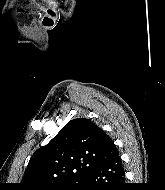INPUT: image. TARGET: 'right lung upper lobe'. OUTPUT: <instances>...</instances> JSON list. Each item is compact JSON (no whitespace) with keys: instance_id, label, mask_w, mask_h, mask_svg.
Listing matches in <instances>:
<instances>
[{"instance_id":"right-lung-upper-lobe-1","label":"right lung upper lobe","mask_w":165,"mask_h":190,"mask_svg":"<svg viewBox=\"0 0 165 190\" xmlns=\"http://www.w3.org/2000/svg\"><path fill=\"white\" fill-rule=\"evenodd\" d=\"M118 153L111 138L86 118L69 121L44 147L36 150L21 190H54L81 180L90 168Z\"/></svg>"}]
</instances>
